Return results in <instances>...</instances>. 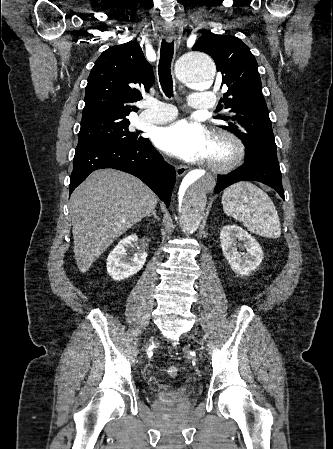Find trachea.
<instances>
[{
  "mask_svg": "<svg viewBox=\"0 0 333 449\" xmlns=\"http://www.w3.org/2000/svg\"><path fill=\"white\" fill-rule=\"evenodd\" d=\"M174 54V43H161L160 60L158 65L159 81L163 92L167 97L173 96V79L171 75V62Z\"/></svg>",
  "mask_w": 333,
  "mask_h": 449,
  "instance_id": "1",
  "label": "trachea"
}]
</instances>
